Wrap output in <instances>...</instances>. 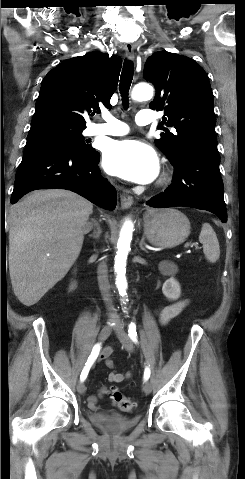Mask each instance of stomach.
<instances>
[{"instance_id":"stomach-1","label":"stomach","mask_w":245,"mask_h":479,"mask_svg":"<svg viewBox=\"0 0 245 479\" xmlns=\"http://www.w3.org/2000/svg\"><path fill=\"white\" fill-rule=\"evenodd\" d=\"M189 219L176 209L150 211L144 218V235L154 246L172 248L190 234Z\"/></svg>"}]
</instances>
